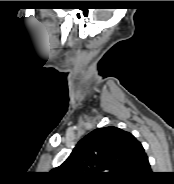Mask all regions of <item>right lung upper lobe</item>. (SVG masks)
I'll use <instances>...</instances> for the list:
<instances>
[{
	"label": "right lung upper lobe",
	"mask_w": 174,
	"mask_h": 184,
	"mask_svg": "<svg viewBox=\"0 0 174 184\" xmlns=\"http://www.w3.org/2000/svg\"><path fill=\"white\" fill-rule=\"evenodd\" d=\"M146 159L141 143L131 133L109 126L81 139L52 172L65 184L119 183L129 179Z\"/></svg>",
	"instance_id": "obj_1"
}]
</instances>
